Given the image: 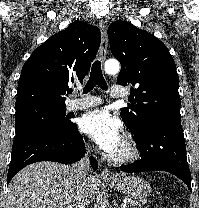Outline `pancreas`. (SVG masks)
<instances>
[{
  "label": "pancreas",
  "mask_w": 199,
  "mask_h": 208,
  "mask_svg": "<svg viewBox=\"0 0 199 208\" xmlns=\"http://www.w3.org/2000/svg\"><path fill=\"white\" fill-rule=\"evenodd\" d=\"M128 207L130 208L141 207V204L136 200L128 199Z\"/></svg>",
  "instance_id": "1"
}]
</instances>
